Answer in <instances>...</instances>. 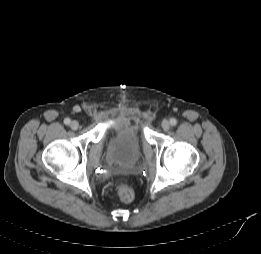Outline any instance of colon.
Returning a JSON list of instances; mask_svg holds the SVG:
<instances>
[{"mask_svg": "<svg viewBox=\"0 0 261 254\" xmlns=\"http://www.w3.org/2000/svg\"><path fill=\"white\" fill-rule=\"evenodd\" d=\"M117 194L121 201L123 202H130L134 198L133 189L126 183H121L117 187Z\"/></svg>", "mask_w": 261, "mask_h": 254, "instance_id": "1", "label": "colon"}]
</instances>
